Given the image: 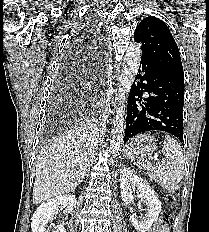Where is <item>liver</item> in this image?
Segmentation results:
<instances>
[{"label": "liver", "instance_id": "liver-1", "mask_svg": "<svg viewBox=\"0 0 209 232\" xmlns=\"http://www.w3.org/2000/svg\"><path fill=\"white\" fill-rule=\"evenodd\" d=\"M92 124H81L49 142L37 158L33 203L74 191L90 161Z\"/></svg>", "mask_w": 209, "mask_h": 232}]
</instances>
